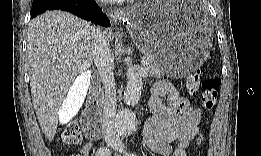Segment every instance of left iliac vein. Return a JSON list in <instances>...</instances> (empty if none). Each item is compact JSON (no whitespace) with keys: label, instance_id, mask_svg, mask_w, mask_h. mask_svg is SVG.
<instances>
[{"label":"left iliac vein","instance_id":"left-iliac-vein-1","mask_svg":"<svg viewBox=\"0 0 261 156\" xmlns=\"http://www.w3.org/2000/svg\"><path fill=\"white\" fill-rule=\"evenodd\" d=\"M114 149L119 153H123L124 145L122 143L118 142L117 144H115Z\"/></svg>","mask_w":261,"mask_h":156}]
</instances>
